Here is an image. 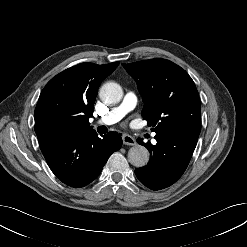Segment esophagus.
Wrapping results in <instances>:
<instances>
[{
    "label": "esophagus",
    "mask_w": 247,
    "mask_h": 247,
    "mask_svg": "<svg viewBox=\"0 0 247 247\" xmlns=\"http://www.w3.org/2000/svg\"><path fill=\"white\" fill-rule=\"evenodd\" d=\"M122 140H123V144L125 145H129V146L136 145V140L134 139V137H132L129 134H123Z\"/></svg>",
    "instance_id": "34e87169"
}]
</instances>
